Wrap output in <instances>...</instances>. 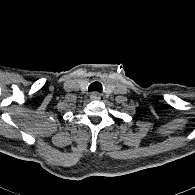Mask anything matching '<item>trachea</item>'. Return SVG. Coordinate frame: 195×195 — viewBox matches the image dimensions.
Returning <instances> with one entry per match:
<instances>
[{"instance_id": "trachea-1", "label": "trachea", "mask_w": 195, "mask_h": 195, "mask_svg": "<svg viewBox=\"0 0 195 195\" xmlns=\"http://www.w3.org/2000/svg\"><path fill=\"white\" fill-rule=\"evenodd\" d=\"M89 91H97V92H102V85L100 82H93L90 84L89 88H88Z\"/></svg>"}]
</instances>
